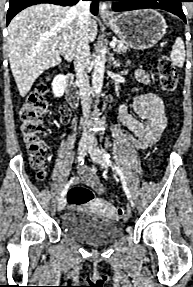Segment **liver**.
Instances as JSON below:
<instances>
[{
  "mask_svg": "<svg viewBox=\"0 0 193 287\" xmlns=\"http://www.w3.org/2000/svg\"><path fill=\"white\" fill-rule=\"evenodd\" d=\"M97 33L96 20L91 19L87 29L89 42L95 40ZM78 40L77 18L69 7L45 3L17 14L8 26L7 47L20 95L25 97L45 70L58 65L60 55L71 61Z\"/></svg>",
  "mask_w": 193,
  "mask_h": 287,
  "instance_id": "liver-1",
  "label": "liver"
}]
</instances>
